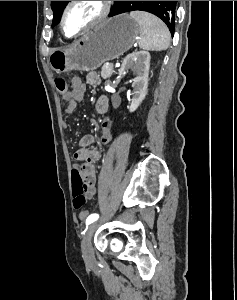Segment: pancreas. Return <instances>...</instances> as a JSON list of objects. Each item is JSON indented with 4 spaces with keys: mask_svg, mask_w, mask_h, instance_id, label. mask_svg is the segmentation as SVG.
I'll use <instances>...</instances> for the list:
<instances>
[{
    "mask_svg": "<svg viewBox=\"0 0 237 300\" xmlns=\"http://www.w3.org/2000/svg\"><path fill=\"white\" fill-rule=\"evenodd\" d=\"M109 63H105V65H103V67H101V75L103 77V79H107V77H111L112 73H114L113 71V63L112 68H109Z\"/></svg>",
    "mask_w": 237,
    "mask_h": 300,
    "instance_id": "1",
    "label": "pancreas"
}]
</instances>
